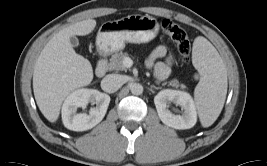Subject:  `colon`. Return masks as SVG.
Here are the masks:
<instances>
[{
  "label": "colon",
  "mask_w": 267,
  "mask_h": 166,
  "mask_svg": "<svg viewBox=\"0 0 267 166\" xmlns=\"http://www.w3.org/2000/svg\"><path fill=\"white\" fill-rule=\"evenodd\" d=\"M161 29L163 34L169 36L175 42L177 50L184 61H188L191 44L186 31L170 19L162 20Z\"/></svg>",
  "instance_id": "obj_1"
}]
</instances>
